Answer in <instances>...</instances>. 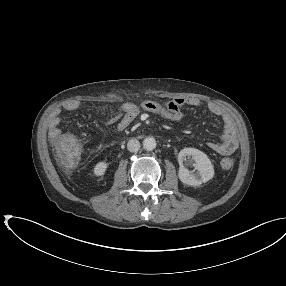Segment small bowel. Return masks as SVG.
Segmentation results:
<instances>
[{"label": "small bowel", "instance_id": "small-bowel-1", "mask_svg": "<svg viewBox=\"0 0 286 286\" xmlns=\"http://www.w3.org/2000/svg\"><path fill=\"white\" fill-rule=\"evenodd\" d=\"M199 100L196 98H175L164 103H159L152 100H145L140 104V107L134 103H124L122 104L113 114L102 118L101 123L104 125H116V130L118 133L125 131L133 121L138 117L140 109L161 115L167 119L173 121H181L185 119L183 113V108L185 106H197L199 105ZM81 108V102L70 101L64 106V110L67 112H75ZM208 110L213 115L219 117L222 120L224 126V134L222 141L208 142L206 145L209 149L214 152L229 156L233 154L239 145L236 127L231 114L225 110L222 106L216 103H209ZM62 109H55L50 116L49 124L50 131L49 134L53 138L60 134V121H61Z\"/></svg>", "mask_w": 286, "mask_h": 286}]
</instances>
